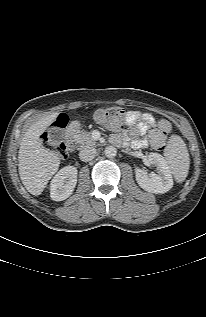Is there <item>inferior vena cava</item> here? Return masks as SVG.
Segmentation results:
<instances>
[{
    "instance_id": "602c4592",
    "label": "inferior vena cava",
    "mask_w": 206,
    "mask_h": 317,
    "mask_svg": "<svg viewBox=\"0 0 206 317\" xmlns=\"http://www.w3.org/2000/svg\"><path fill=\"white\" fill-rule=\"evenodd\" d=\"M96 156V149L93 147H85L79 153V158L84 161L88 162Z\"/></svg>"
}]
</instances>
